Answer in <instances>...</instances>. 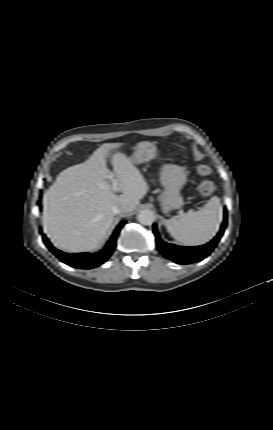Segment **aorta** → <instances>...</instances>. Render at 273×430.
I'll use <instances>...</instances> for the list:
<instances>
[{
	"label": "aorta",
	"mask_w": 273,
	"mask_h": 430,
	"mask_svg": "<svg viewBox=\"0 0 273 430\" xmlns=\"http://www.w3.org/2000/svg\"><path fill=\"white\" fill-rule=\"evenodd\" d=\"M155 219V213L149 209L142 210L137 216L138 222L146 226L152 225Z\"/></svg>",
	"instance_id": "aorta-1"
}]
</instances>
